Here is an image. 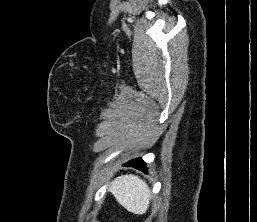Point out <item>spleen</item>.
<instances>
[{"mask_svg":"<svg viewBox=\"0 0 257 222\" xmlns=\"http://www.w3.org/2000/svg\"><path fill=\"white\" fill-rule=\"evenodd\" d=\"M109 191L119 204L134 214H145L150 203L148 185L135 175H121L112 181Z\"/></svg>","mask_w":257,"mask_h":222,"instance_id":"3e777b00","label":"spleen"}]
</instances>
